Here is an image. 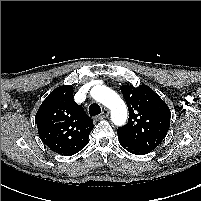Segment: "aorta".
<instances>
[{
    "label": "aorta",
    "instance_id": "762f6f07",
    "mask_svg": "<svg viewBox=\"0 0 201 201\" xmlns=\"http://www.w3.org/2000/svg\"><path fill=\"white\" fill-rule=\"evenodd\" d=\"M92 97L111 110V119L115 125H123L127 120V108L124 101L112 89L106 86H95Z\"/></svg>",
    "mask_w": 201,
    "mask_h": 201
}]
</instances>
